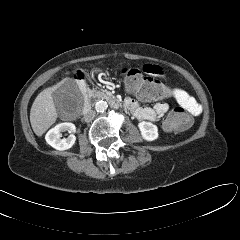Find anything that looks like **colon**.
I'll return each instance as SVG.
<instances>
[{
    "instance_id": "obj_1",
    "label": "colon",
    "mask_w": 240,
    "mask_h": 240,
    "mask_svg": "<svg viewBox=\"0 0 240 240\" xmlns=\"http://www.w3.org/2000/svg\"><path fill=\"white\" fill-rule=\"evenodd\" d=\"M123 73L127 89L143 101L164 100L171 95V90L154 76L144 74L135 68H125ZM191 124V116L185 109L177 107L167 115L164 128L170 132H179Z\"/></svg>"
}]
</instances>
